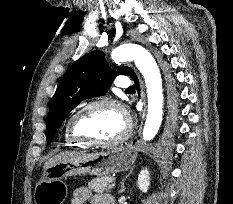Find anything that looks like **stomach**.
<instances>
[{"instance_id":"stomach-1","label":"stomach","mask_w":233,"mask_h":204,"mask_svg":"<svg viewBox=\"0 0 233 204\" xmlns=\"http://www.w3.org/2000/svg\"><path fill=\"white\" fill-rule=\"evenodd\" d=\"M137 149L132 145L115 147L106 151L74 155L53 162L43 171L35 186V204H63L66 187L63 179L77 175L109 176L126 171L137 158Z\"/></svg>"}]
</instances>
